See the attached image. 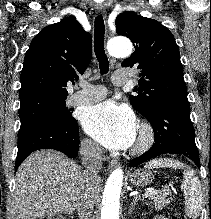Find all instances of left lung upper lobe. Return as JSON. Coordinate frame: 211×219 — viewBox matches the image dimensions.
<instances>
[{
  "mask_svg": "<svg viewBox=\"0 0 211 219\" xmlns=\"http://www.w3.org/2000/svg\"><path fill=\"white\" fill-rule=\"evenodd\" d=\"M116 29L118 35L129 37L135 44L134 53L122 62L124 67L135 65L140 70L131 105L146 118L161 102L187 101L179 48L169 29L129 11L117 16Z\"/></svg>",
  "mask_w": 211,
  "mask_h": 219,
  "instance_id": "obj_1",
  "label": "left lung upper lobe"
}]
</instances>
